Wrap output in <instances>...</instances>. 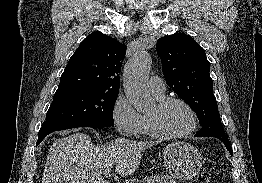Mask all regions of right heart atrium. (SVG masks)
<instances>
[{
  "label": "right heart atrium",
  "mask_w": 262,
  "mask_h": 183,
  "mask_svg": "<svg viewBox=\"0 0 262 183\" xmlns=\"http://www.w3.org/2000/svg\"><path fill=\"white\" fill-rule=\"evenodd\" d=\"M112 120L116 130L124 136H135L140 133L142 115L131 105L128 99L119 95L112 107Z\"/></svg>",
  "instance_id": "d8ad5b80"
}]
</instances>
